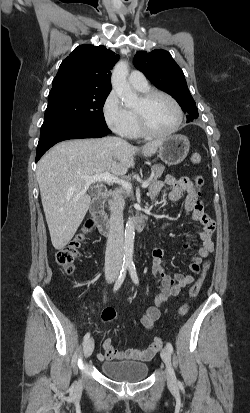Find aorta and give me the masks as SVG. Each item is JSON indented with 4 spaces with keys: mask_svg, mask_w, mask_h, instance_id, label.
<instances>
[{
    "mask_svg": "<svg viewBox=\"0 0 250 413\" xmlns=\"http://www.w3.org/2000/svg\"><path fill=\"white\" fill-rule=\"evenodd\" d=\"M128 63L124 60L119 61L112 71L111 83L112 87L121 98L124 105L128 108L134 107L138 102L137 95L132 91L127 83ZM135 227L132 218H129L125 228L124 239V263L126 265L133 264V249H134Z\"/></svg>",
    "mask_w": 250,
    "mask_h": 413,
    "instance_id": "aorta-1",
    "label": "aorta"
}]
</instances>
